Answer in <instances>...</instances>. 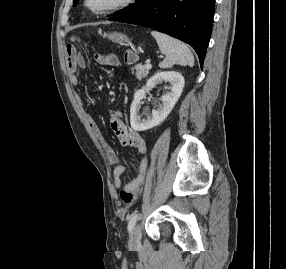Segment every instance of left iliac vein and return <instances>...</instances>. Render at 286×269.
I'll return each mask as SVG.
<instances>
[{
  "label": "left iliac vein",
  "instance_id": "4c4485c4",
  "mask_svg": "<svg viewBox=\"0 0 286 269\" xmlns=\"http://www.w3.org/2000/svg\"><path fill=\"white\" fill-rule=\"evenodd\" d=\"M140 240H141V229H140V226L137 225L134 227V229L132 230L130 234L129 243L131 246H137L140 244Z\"/></svg>",
  "mask_w": 286,
  "mask_h": 269
}]
</instances>
